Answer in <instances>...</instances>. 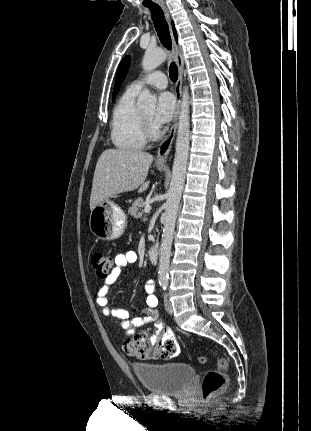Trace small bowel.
<instances>
[{
	"label": "small bowel",
	"instance_id": "obj_1",
	"mask_svg": "<svg viewBox=\"0 0 311 431\" xmlns=\"http://www.w3.org/2000/svg\"><path fill=\"white\" fill-rule=\"evenodd\" d=\"M137 259V253L132 250L116 255L115 267L106 277L97 293V304L101 307L102 313L105 316L113 317L119 321L126 335H132L136 328L154 322L155 334L150 339L157 340L161 334L163 335L162 337L168 335L174 336L171 330L164 328L159 318L158 298L155 295V282L153 280H148L145 284L147 307L142 311V316L130 318V313L127 310L113 308L109 305V291L112 284L118 279L122 269L136 263ZM142 334L148 337L146 333Z\"/></svg>",
	"mask_w": 311,
	"mask_h": 431
}]
</instances>
